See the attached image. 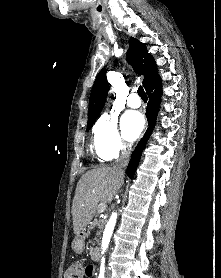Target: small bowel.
<instances>
[{
  "label": "small bowel",
  "instance_id": "c3829d8e",
  "mask_svg": "<svg viewBox=\"0 0 221 278\" xmlns=\"http://www.w3.org/2000/svg\"><path fill=\"white\" fill-rule=\"evenodd\" d=\"M90 268H91V270H90L89 274L87 275V278H92L95 273V267L90 265Z\"/></svg>",
  "mask_w": 221,
  "mask_h": 278
}]
</instances>
